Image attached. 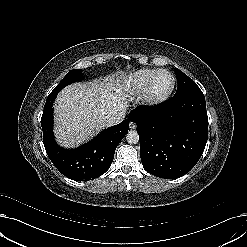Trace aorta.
Returning a JSON list of instances; mask_svg holds the SVG:
<instances>
[{"label":"aorta","mask_w":247,"mask_h":247,"mask_svg":"<svg viewBox=\"0 0 247 247\" xmlns=\"http://www.w3.org/2000/svg\"><path fill=\"white\" fill-rule=\"evenodd\" d=\"M126 140L129 144H137L139 142V135L136 131L130 130L126 134Z\"/></svg>","instance_id":"762f6f07"}]
</instances>
